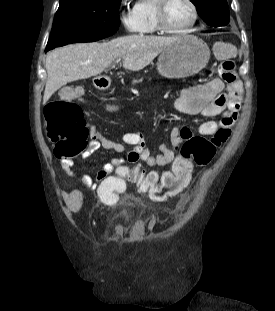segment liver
<instances>
[{
    "label": "liver",
    "instance_id": "1",
    "mask_svg": "<svg viewBox=\"0 0 275 311\" xmlns=\"http://www.w3.org/2000/svg\"><path fill=\"white\" fill-rule=\"evenodd\" d=\"M177 38L128 35L107 43L73 44L55 49L46 59L43 103L67 83L96 76L119 58L124 59L125 70H142Z\"/></svg>",
    "mask_w": 275,
    "mask_h": 311
}]
</instances>
